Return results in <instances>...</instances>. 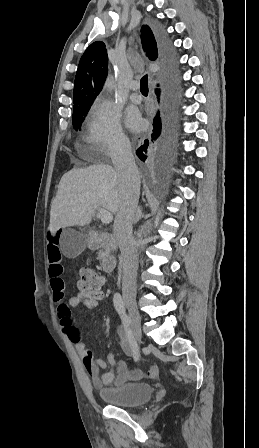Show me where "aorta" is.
<instances>
[{
	"instance_id": "obj_1",
	"label": "aorta",
	"mask_w": 259,
	"mask_h": 448,
	"mask_svg": "<svg viewBox=\"0 0 259 448\" xmlns=\"http://www.w3.org/2000/svg\"><path fill=\"white\" fill-rule=\"evenodd\" d=\"M112 85H113V80H112V79H108V81H107V83H106V87H107L108 89H110V88H112Z\"/></svg>"
}]
</instances>
